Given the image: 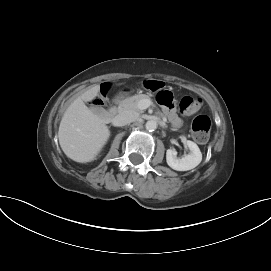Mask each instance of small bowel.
<instances>
[{
	"label": "small bowel",
	"mask_w": 271,
	"mask_h": 271,
	"mask_svg": "<svg viewBox=\"0 0 271 271\" xmlns=\"http://www.w3.org/2000/svg\"><path fill=\"white\" fill-rule=\"evenodd\" d=\"M166 114L174 126L181 124L180 118L177 116L173 106L166 107Z\"/></svg>",
	"instance_id": "c3829d8e"
}]
</instances>
